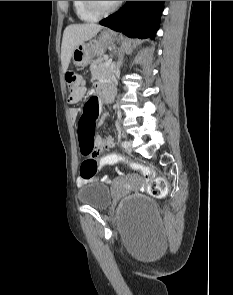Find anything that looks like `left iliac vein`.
<instances>
[{
	"label": "left iliac vein",
	"instance_id": "4c4485c4",
	"mask_svg": "<svg viewBox=\"0 0 233 295\" xmlns=\"http://www.w3.org/2000/svg\"><path fill=\"white\" fill-rule=\"evenodd\" d=\"M129 143L127 145H123L122 146L128 151L131 152L132 151V142L131 140H127Z\"/></svg>",
	"mask_w": 233,
	"mask_h": 295
}]
</instances>
